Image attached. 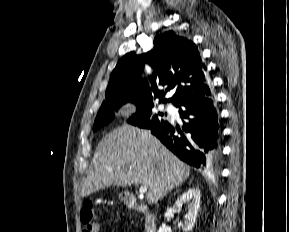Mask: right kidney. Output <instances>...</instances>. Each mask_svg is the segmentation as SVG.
Wrapping results in <instances>:
<instances>
[{
  "instance_id": "right-kidney-1",
  "label": "right kidney",
  "mask_w": 289,
  "mask_h": 232,
  "mask_svg": "<svg viewBox=\"0 0 289 232\" xmlns=\"http://www.w3.org/2000/svg\"><path fill=\"white\" fill-rule=\"evenodd\" d=\"M201 194L199 188H190L182 195H180L175 201L174 208H181L184 204H187L188 212L185 215L184 224L182 225L183 232L192 231L198 211L200 208ZM158 232H171L170 228L163 225L159 227Z\"/></svg>"
}]
</instances>
